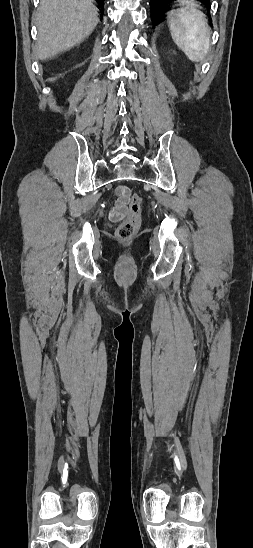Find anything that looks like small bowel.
<instances>
[{
    "instance_id": "c3829d8e",
    "label": "small bowel",
    "mask_w": 253,
    "mask_h": 548,
    "mask_svg": "<svg viewBox=\"0 0 253 548\" xmlns=\"http://www.w3.org/2000/svg\"><path fill=\"white\" fill-rule=\"evenodd\" d=\"M117 200L109 211V217L113 221H119L128 212L127 202L129 189L127 186L120 185L116 188Z\"/></svg>"
}]
</instances>
